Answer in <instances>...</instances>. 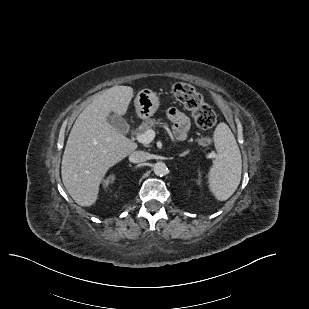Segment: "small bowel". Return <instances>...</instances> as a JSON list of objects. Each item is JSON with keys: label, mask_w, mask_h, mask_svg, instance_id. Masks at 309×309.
I'll return each instance as SVG.
<instances>
[{"label": "small bowel", "mask_w": 309, "mask_h": 309, "mask_svg": "<svg viewBox=\"0 0 309 309\" xmlns=\"http://www.w3.org/2000/svg\"><path fill=\"white\" fill-rule=\"evenodd\" d=\"M167 116L174 125L173 133L175 138L178 140L185 139L190 128V121L188 117L174 107L168 110Z\"/></svg>", "instance_id": "1"}]
</instances>
